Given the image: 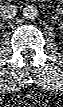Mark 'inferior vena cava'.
I'll list each match as a JSON object with an SVG mask.
<instances>
[{"label":"inferior vena cava","mask_w":63,"mask_h":107,"mask_svg":"<svg viewBox=\"0 0 63 107\" xmlns=\"http://www.w3.org/2000/svg\"><path fill=\"white\" fill-rule=\"evenodd\" d=\"M17 15V6L15 5H6L2 6L0 9V16L3 19H12Z\"/></svg>","instance_id":"obj_1"}]
</instances>
